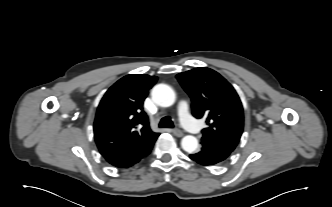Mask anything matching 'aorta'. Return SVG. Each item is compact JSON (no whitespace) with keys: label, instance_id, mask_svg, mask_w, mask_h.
<instances>
[{"label":"aorta","instance_id":"1","mask_svg":"<svg viewBox=\"0 0 332 207\" xmlns=\"http://www.w3.org/2000/svg\"><path fill=\"white\" fill-rule=\"evenodd\" d=\"M152 99L161 107H169L174 104L176 96L173 89L166 84H158L152 89ZM181 146L184 151L193 153L198 148V140L192 135L182 138Z\"/></svg>","mask_w":332,"mask_h":207}]
</instances>
